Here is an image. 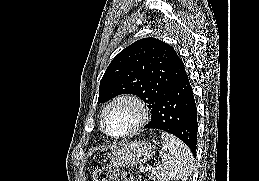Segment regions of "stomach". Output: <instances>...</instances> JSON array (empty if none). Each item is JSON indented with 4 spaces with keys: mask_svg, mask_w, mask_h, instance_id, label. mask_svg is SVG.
Here are the masks:
<instances>
[{
    "mask_svg": "<svg viewBox=\"0 0 259 181\" xmlns=\"http://www.w3.org/2000/svg\"><path fill=\"white\" fill-rule=\"evenodd\" d=\"M154 152L155 147L151 143L133 141L110 154V161L115 166L133 167L149 160Z\"/></svg>",
    "mask_w": 259,
    "mask_h": 181,
    "instance_id": "stomach-1",
    "label": "stomach"
}]
</instances>
